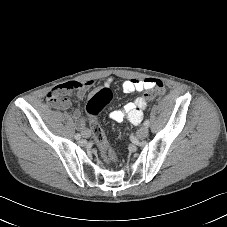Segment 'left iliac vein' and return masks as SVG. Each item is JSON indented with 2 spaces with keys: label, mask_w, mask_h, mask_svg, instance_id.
<instances>
[{
  "label": "left iliac vein",
  "mask_w": 227,
  "mask_h": 227,
  "mask_svg": "<svg viewBox=\"0 0 227 227\" xmlns=\"http://www.w3.org/2000/svg\"><path fill=\"white\" fill-rule=\"evenodd\" d=\"M148 127L142 126L138 131H137V137L139 139H145L148 136Z\"/></svg>",
  "instance_id": "left-iliac-vein-1"
}]
</instances>
